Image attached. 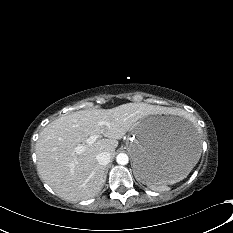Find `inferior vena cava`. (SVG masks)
Here are the masks:
<instances>
[{"instance_id": "inferior-vena-cava-1", "label": "inferior vena cava", "mask_w": 233, "mask_h": 233, "mask_svg": "<svg viewBox=\"0 0 233 233\" xmlns=\"http://www.w3.org/2000/svg\"><path fill=\"white\" fill-rule=\"evenodd\" d=\"M96 159L100 165H107L110 162L111 159V154L107 151L100 152L97 156Z\"/></svg>"}]
</instances>
